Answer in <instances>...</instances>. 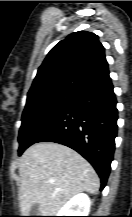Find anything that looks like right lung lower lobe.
Masks as SVG:
<instances>
[{"label":"right lung lower lobe","mask_w":132,"mask_h":217,"mask_svg":"<svg viewBox=\"0 0 132 217\" xmlns=\"http://www.w3.org/2000/svg\"><path fill=\"white\" fill-rule=\"evenodd\" d=\"M116 104L111 80L87 90L76 96L35 143L51 141L76 150L95 168L102 190L115 149Z\"/></svg>","instance_id":"98d812e1"}]
</instances>
